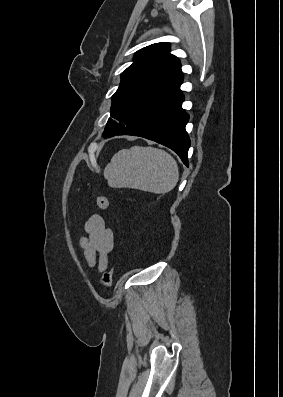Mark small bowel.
Here are the masks:
<instances>
[{
  "mask_svg": "<svg viewBox=\"0 0 283 397\" xmlns=\"http://www.w3.org/2000/svg\"><path fill=\"white\" fill-rule=\"evenodd\" d=\"M80 244L88 265L96 267L99 272L105 271L114 248V233L102 216H88Z\"/></svg>",
  "mask_w": 283,
  "mask_h": 397,
  "instance_id": "1",
  "label": "small bowel"
}]
</instances>
